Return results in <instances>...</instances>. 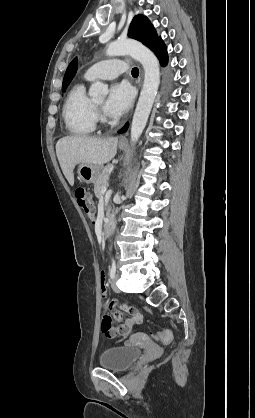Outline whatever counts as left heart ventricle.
Wrapping results in <instances>:
<instances>
[{"label": "left heart ventricle", "instance_id": "left-heart-ventricle-1", "mask_svg": "<svg viewBox=\"0 0 255 418\" xmlns=\"http://www.w3.org/2000/svg\"><path fill=\"white\" fill-rule=\"evenodd\" d=\"M101 103H102L101 101L96 102L97 105H100Z\"/></svg>", "mask_w": 255, "mask_h": 418}]
</instances>
